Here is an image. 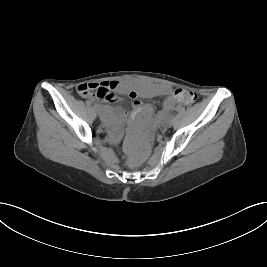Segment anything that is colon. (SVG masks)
I'll return each mask as SVG.
<instances>
[{
	"label": "colon",
	"instance_id": "colon-1",
	"mask_svg": "<svg viewBox=\"0 0 267 267\" xmlns=\"http://www.w3.org/2000/svg\"><path fill=\"white\" fill-rule=\"evenodd\" d=\"M83 97H98L103 100H113L115 92L112 87H106L104 83L84 84L80 89ZM176 100L179 103L190 105L196 100V94L188 89H178L175 92Z\"/></svg>",
	"mask_w": 267,
	"mask_h": 267
}]
</instances>
